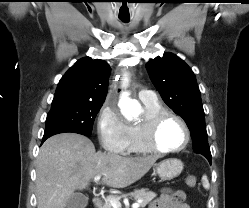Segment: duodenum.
Segmentation results:
<instances>
[{
	"mask_svg": "<svg viewBox=\"0 0 249 208\" xmlns=\"http://www.w3.org/2000/svg\"><path fill=\"white\" fill-rule=\"evenodd\" d=\"M93 206L99 208L103 203V198L100 194H97L92 199Z\"/></svg>",
	"mask_w": 249,
	"mask_h": 208,
	"instance_id": "duodenum-1",
	"label": "duodenum"
}]
</instances>
